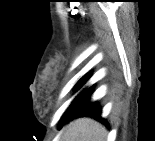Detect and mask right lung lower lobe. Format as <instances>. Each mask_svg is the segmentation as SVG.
<instances>
[{
    "label": "right lung lower lobe",
    "instance_id": "1",
    "mask_svg": "<svg viewBox=\"0 0 155 141\" xmlns=\"http://www.w3.org/2000/svg\"><path fill=\"white\" fill-rule=\"evenodd\" d=\"M92 93V87L82 91L72 102V104L67 109L62 123L59 125V128L63 123H67L70 120L81 117V116H90L98 120H104L101 118V109L98 107L97 103H90L89 98Z\"/></svg>",
    "mask_w": 155,
    "mask_h": 141
}]
</instances>
